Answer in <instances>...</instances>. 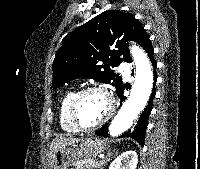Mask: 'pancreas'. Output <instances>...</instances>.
I'll return each instance as SVG.
<instances>
[{
    "instance_id": "pancreas-1",
    "label": "pancreas",
    "mask_w": 200,
    "mask_h": 169,
    "mask_svg": "<svg viewBox=\"0 0 200 169\" xmlns=\"http://www.w3.org/2000/svg\"><path fill=\"white\" fill-rule=\"evenodd\" d=\"M101 164L103 163L94 160H80L75 162L74 166L75 169H93V168H99Z\"/></svg>"
}]
</instances>
